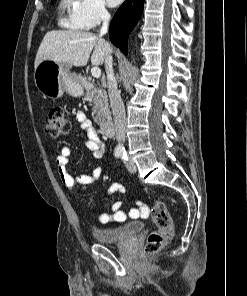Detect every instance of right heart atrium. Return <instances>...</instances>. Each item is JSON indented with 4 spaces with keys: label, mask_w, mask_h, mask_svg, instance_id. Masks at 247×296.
<instances>
[{
    "label": "right heart atrium",
    "mask_w": 247,
    "mask_h": 296,
    "mask_svg": "<svg viewBox=\"0 0 247 296\" xmlns=\"http://www.w3.org/2000/svg\"><path fill=\"white\" fill-rule=\"evenodd\" d=\"M110 17L104 0H80L77 18L85 28L98 26Z\"/></svg>",
    "instance_id": "d8ad5b80"
}]
</instances>
